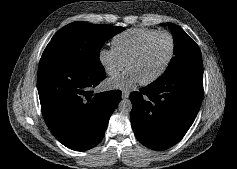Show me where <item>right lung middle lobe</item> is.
Segmentation results:
<instances>
[{"label": "right lung middle lobe", "mask_w": 237, "mask_h": 169, "mask_svg": "<svg viewBox=\"0 0 237 169\" xmlns=\"http://www.w3.org/2000/svg\"><path fill=\"white\" fill-rule=\"evenodd\" d=\"M123 27L73 22L60 29L45 48L40 63H57L80 68L103 67L99 52L106 40Z\"/></svg>", "instance_id": "obj_1"}]
</instances>
